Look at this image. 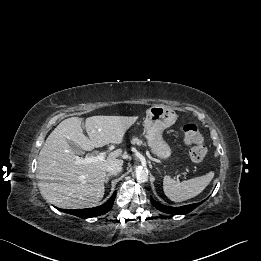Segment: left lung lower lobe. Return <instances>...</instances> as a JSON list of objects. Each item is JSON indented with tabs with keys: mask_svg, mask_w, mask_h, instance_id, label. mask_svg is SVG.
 I'll list each match as a JSON object with an SVG mask.
<instances>
[{
	"mask_svg": "<svg viewBox=\"0 0 261 261\" xmlns=\"http://www.w3.org/2000/svg\"><path fill=\"white\" fill-rule=\"evenodd\" d=\"M150 201L152 205L156 207L158 210L164 213L174 214V215L187 214L191 212L194 208H196L199 204H201V203H195V204L185 205L181 207H170L156 202L152 197H150Z\"/></svg>",
	"mask_w": 261,
	"mask_h": 261,
	"instance_id": "1",
	"label": "left lung lower lobe"
}]
</instances>
